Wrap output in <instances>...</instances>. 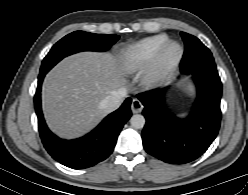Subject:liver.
<instances>
[{
    "label": "liver",
    "mask_w": 248,
    "mask_h": 195,
    "mask_svg": "<svg viewBox=\"0 0 248 195\" xmlns=\"http://www.w3.org/2000/svg\"><path fill=\"white\" fill-rule=\"evenodd\" d=\"M131 72L110 53L81 52L63 59L45 77L42 105L49 127L63 138H77L106 115L99 103L124 88Z\"/></svg>",
    "instance_id": "obj_1"
}]
</instances>
